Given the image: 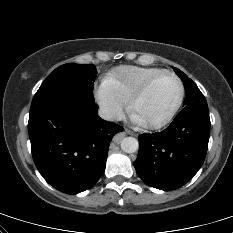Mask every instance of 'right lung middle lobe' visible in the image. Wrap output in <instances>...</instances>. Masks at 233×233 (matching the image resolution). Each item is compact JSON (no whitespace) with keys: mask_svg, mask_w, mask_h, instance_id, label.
Returning a JSON list of instances; mask_svg holds the SVG:
<instances>
[{"mask_svg":"<svg viewBox=\"0 0 233 233\" xmlns=\"http://www.w3.org/2000/svg\"><path fill=\"white\" fill-rule=\"evenodd\" d=\"M96 75L93 64L68 63L59 66L36 92L30 110L58 102H95L93 84Z\"/></svg>","mask_w":233,"mask_h":233,"instance_id":"1","label":"right lung middle lobe"}]
</instances>
